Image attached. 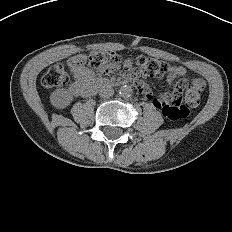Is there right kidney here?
Instances as JSON below:
<instances>
[{"label": "right kidney", "instance_id": "obj_1", "mask_svg": "<svg viewBox=\"0 0 232 232\" xmlns=\"http://www.w3.org/2000/svg\"><path fill=\"white\" fill-rule=\"evenodd\" d=\"M73 100L72 93L64 88L56 89L50 95L51 104L57 109H64L70 105Z\"/></svg>", "mask_w": 232, "mask_h": 232}]
</instances>
